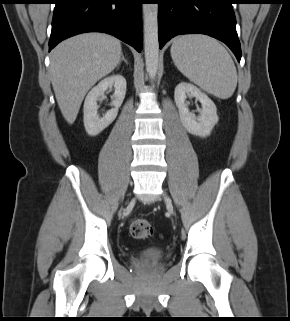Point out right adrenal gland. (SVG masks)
<instances>
[{
  "label": "right adrenal gland",
  "instance_id": "obj_1",
  "mask_svg": "<svg viewBox=\"0 0 290 321\" xmlns=\"http://www.w3.org/2000/svg\"><path fill=\"white\" fill-rule=\"evenodd\" d=\"M122 61H124L128 65V61L125 59L124 55L122 54L121 60L119 61L118 65H117V69H119V67L121 66Z\"/></svg>",
  "mask_w": 290,
  "mask_h": 321
}]
</instances>
